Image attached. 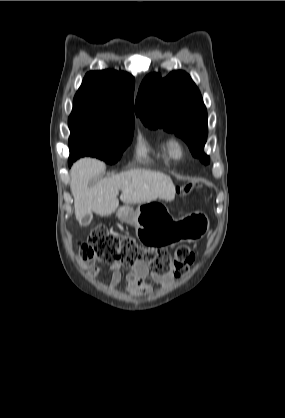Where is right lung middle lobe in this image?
<instances>
[{"mask_svg": "<svg viewBox=\"0 0 285 418\" xmlns=\"http://www.w3.org/2000/svg\"><path fill=\"white\" fill-rule=\"evenodd\" d=\"M69 163L91 156L108 164L116 163L130 144L134 126H122L103 120L69 117Z\"/></svg>", "mask_w": 285, "mask_h": 418, "instance_id": "right-lung-middle-lobe-1", "label": "right lung middle lobe"}]
</instances>
